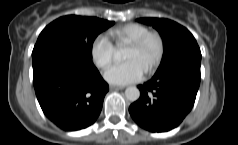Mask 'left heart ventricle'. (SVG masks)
<instances>
[{"instance_id":"1","label":"left heart ventricle","mask_w":238,"mask_h":145,"mask_svg":"<svg viewBox=\"0 0 238 145\" xmlns=\"http://www.w3.org/2000/svg\"><path fill=\"white\" fill-rule=\"evenodd\" d=\"M157 51V45L155 41L150 40L143 48L140 50H134L128 47L125 55L126 60H135L145 71L149 66L151 60L155 56Z\"/></svg>"}]
</instances>
